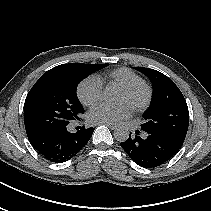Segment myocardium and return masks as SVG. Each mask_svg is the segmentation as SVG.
<instances>
[{"instance_id": "myocardium-1", "label": "myocardium", "mask_w": 211, "mask_h": 211, "mask_svg": "<svg viewBox=\"0 0 211 211\" xmlns=\"http://www.w3.org/2000/svg\"><path fill=\"white\" fill-rule=\"evenodd\" d=\"M122 91L128 96L129 105L135 111L147 109L152 102V88L144 82L122 88Z\"/></svg>"}]
</instances>
